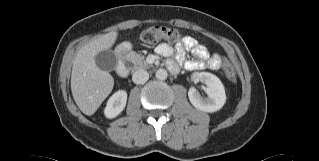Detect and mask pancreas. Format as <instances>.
<instances>
[{
	"label": "pancreas",
	"mask_w": 319,
	"mask_h": 161,
	"mask_svg": "<svg viewBox=\"0 0 319 161\" xmlns=\"http://www.w3.org/2000/svg\"><path fill=\"white\" fill-rule=\"evenodd\" d=\"M126 59L132 62L135 68L145 69L149 67V64L146 62L145 57L141 54L131 51L127 56Z\"/></svg>",
	"instance_id": "obj_1"
}]
</instances>
